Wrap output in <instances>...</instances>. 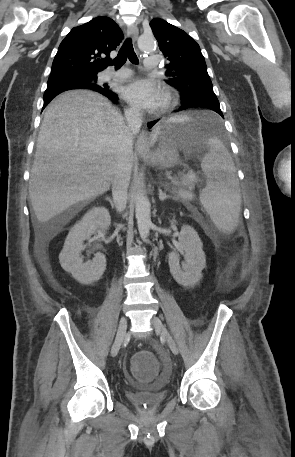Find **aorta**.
<instances>
[{
	"mask_svg": "<svg viewBox=\"0 0 295 457\" xmlns=\"http://www.w3.org/2000/svg\"><path fill=\"white\" fill-rule=\"evenodd\" d=\"M138 46L143 51H151L155 47V39L152 34H143L138 39ZM141 188L137 192L136 202H135V213L138 224V231L142 239H146L149 235L151 227V205L144 193L143 185H140Z\"/></svg>",
	"mask_w": 295,
	"mask_h": 457,
	"instance_id": "obj_1",
	"label": "aorta"
}]
</instances>
